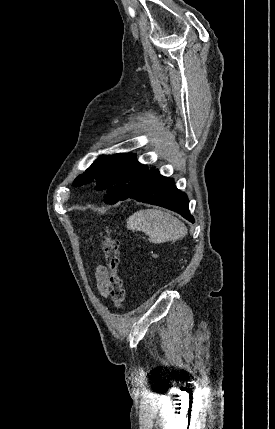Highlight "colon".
Returning a JSON list of instances; mask_svg holds the SVG:
<instances>
[{
	"label": "colon",
	"instance_id": "5ec220e1",
	"mask_svg": "<svg viewBox=\"0 0 275 429\" xmlns=\"http://www.w3.org/2000/svg\"><path fill=\"white\" fill-rule=\"evenodd\" d=\"M102 250L104 262L109 270L108 287L113 306L116 309H121L125 301V289L123 280L118 274L120 263V242L117 238L110 236L107 233H102Z\"/></svg>",
	"mask_w": 275,
	"mask_h": 429
}]
</instances>
